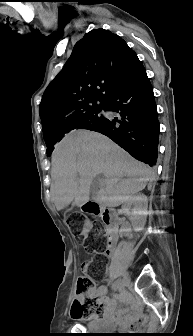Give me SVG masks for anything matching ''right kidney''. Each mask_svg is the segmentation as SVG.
Instances as JSON below:
<instances>
[{
    "instance_id": "ca27d5eb",
    "label": "right kidney",
    "mask_w": 193,
    "mask_h": 336,
    "mask_svg": "<svg viewBox=\"0 0 193 336\" xmlns=\"http://www.w3.org/2000/svg\"><path fill=\"white\" fill-rule=\"evenodd\" d=\"M148 199L144 194L127 197L122 205V211L130 216L135 231H141L148 215Z\"/></svg>"
}]
</instances>
